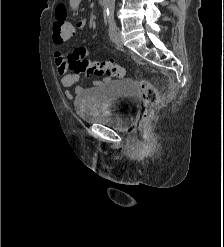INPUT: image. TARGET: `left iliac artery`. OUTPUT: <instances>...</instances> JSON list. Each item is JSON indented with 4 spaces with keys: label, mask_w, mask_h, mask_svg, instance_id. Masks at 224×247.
I'll use <instances>...</instances> for the list:
<instances>
[{
    "label": "left iliac artery",
    "mask_w": 224,
    "mask_h": 247,
    "mask_svg": "<svg viewBox=\"0 0 224 247\" xmlns=\"http://www.w3.org/2000/svg\"><path fill=\"white\" fill-rule=\"evenodd\" d=\"M116 31H117L116 21L114 20V18H110L109 19V36L112 41H114Z\"/></svg>",
    "instance_id": "44dca946"
}]
</instances>
